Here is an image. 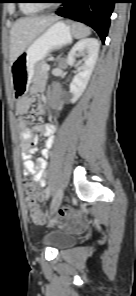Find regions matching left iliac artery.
I'll use <instances>...</instances> for the list:
<instances>
[{
    "instance_id": "obj_1",
    "label": "left iliac artery",
    "mask_w": 136,
    "mask_h": 296,
    "mask_svg": "<svg viewBox=\"0 0 136 296\" xmlns=\"http://www.w3.org/2000/svg\"><path fill=\"white\" fill-rule=\"evenodd\" d=\"M51 186L48 184L47 185V189H46V197H50V190H49V188H50Z\"/></svg>"
}]
</instances>
